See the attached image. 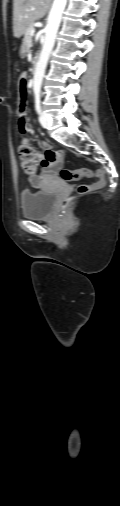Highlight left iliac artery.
<instances>
[{
    "mask_svg": "<svg viewBox=\"0 0 120 506\" xmlns=\"http://www.w3.org/2000/svg\"><path fill=\"white\" fill-rule=\"evenodd\" d=\"M35 109L37 113H41L40 94H35Z\"/></svg>",
    "mask_w": 120,
    "mask_h": 506,
    "instance_id": "44dca946",
    "label": "left iliac artery"
}]
</instances>
